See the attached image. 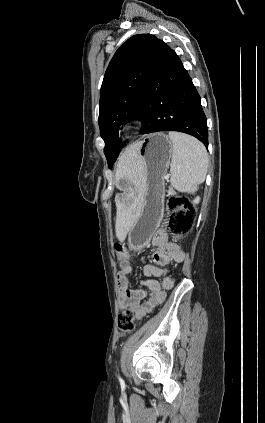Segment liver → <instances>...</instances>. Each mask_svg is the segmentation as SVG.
Listing matches in <instances>:
<instances>
[{"mask_svg":"<svg viewBox=\"0 0 265 423\" xmlns=\"http://www.w3.org/2000/svg\"><path fill=\"white\" fill-rule=\"evenodd\" d=\"M138 143L130 145L118 159L116 168V186L122 190L120 181L125 180L135 188H140L143 182V174L140 164L137 162ZM141 195H136L132 192L127 195L126 200H120L116 197V223L115 231L116 237L120 242H123L137 218L141 207Z\"/></svg>","mask_w":265,"mask_h":423,"instance_id":"6515ba94","label":"liver"}]
</instances>
